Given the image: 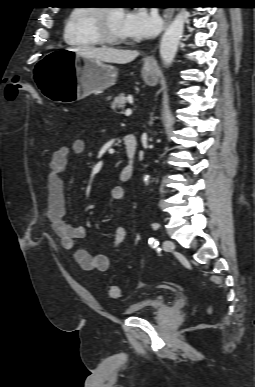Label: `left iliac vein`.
<instances>
[{
    "instance_id": "1",
    "label": "left iliac vein",
    "mask_w": 255,
    "mask_h": 387,
    "mask_svg": "<svg viewBox=\"0 0 255 387\" xmlns=\"http://www.w3.org/2000/svg\"><path fill=\"white\" fill-rule=\"evenodd\" d=\"M175 248V245H174V243L171 241V240H165L164 242H163V249L165 250V251H171V250H173Z\"/></svg>"
}]
</instances>
